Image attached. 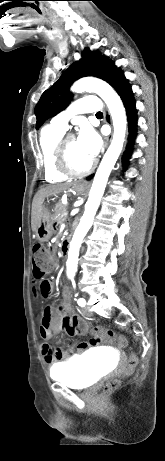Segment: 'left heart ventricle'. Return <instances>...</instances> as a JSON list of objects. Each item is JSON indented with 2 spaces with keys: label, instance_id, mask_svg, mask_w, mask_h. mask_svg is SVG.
<instances>
[{
  "label": "left heart ventricle",
  "instance_id": "left-heart-ventricle-1",
  "mask_svg": "<svg viewBox=\"0 0 165 461\" xmlns=\"http://www.w3.org/2000/svg\"><path fill=\"white\" fill-rule=\"evenodd\" d=\"M68 161L76 170H83L91 162L92 158L87 156L80 148L77 139L73 138L67 144Z\"/></svg>",
  "mask_w": 165,
  "mask_h": 461
}]
</instances>
